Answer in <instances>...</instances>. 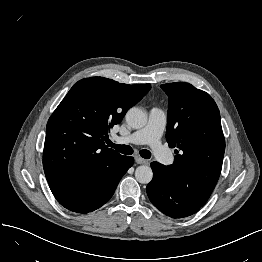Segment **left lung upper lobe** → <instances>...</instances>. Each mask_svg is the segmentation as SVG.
<instances>
[{
	"label": "left lung upper lobe",
	"instance_id": "5c2ea615",
	"mask_svg": "<svg viewBox=\"0 0 262 262\" xmlns=\"http://www.w3.org/2000/svg\"><path fill=\"white\" fill-rule=\"evenodd\" d=\"M168 95L166 138L175 150L169 181L202 207L220 176L225 151L220 112L212 97L183 82L161 85Z\"/></svg>",
	"mask_w": 262,
	"mask_h": 262
}]
</instances>
